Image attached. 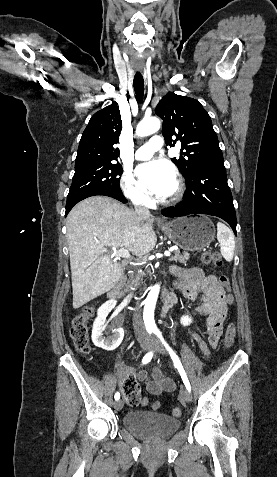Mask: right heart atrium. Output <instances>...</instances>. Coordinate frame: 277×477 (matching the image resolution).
I'll return each mask as SVG.
<instances>
[{
	"label": "right heart atrium",
	"instance_id": "d8ad5b80",
	"mask_svg": "<svg viewBox=\"0 0 277 477\" xmlns=\"http://www.w3.org/2000/svg\"><path fill=\"white\" fill-rule=\"evenodd\" d=\"M121 189L124 196L135 205H148L151 201L148 192L135 180L132 173L126 171L121 177Z\"/></svg>",
	"mask_w": 277,
	"mask_h": 477
}]
</instances>
